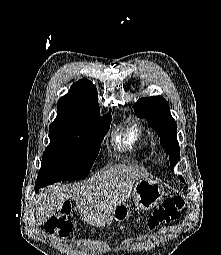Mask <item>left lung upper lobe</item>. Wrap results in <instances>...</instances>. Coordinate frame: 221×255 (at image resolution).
Masks as SVG:
<instances>
[{"label":"left lung upper lobe","instance_id":"left-lung-upper-lobe-1","mask_svg":"<svg viewBox=\"0 0 221 255\" xmlns=\"http://www.w3.org/2000/svg\"><path fill=\"white\" fill-rule=\"evenodd\" d=\"M134 110L140 118H146L157 132L163 149L169 155L170 168L180 159V147L176 138L177 126L169 110L168 102L160 96L143 97L134 104ZM184 182V178L180 176Z\"/></svg>","mask_w":221,"mask_h":255}]
</instances>
